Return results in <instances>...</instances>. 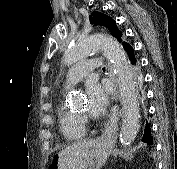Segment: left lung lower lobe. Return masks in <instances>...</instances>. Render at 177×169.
Here are the masks:
<instances>
[{
	"instance_id": "left-lung-lower-lobe-1",
	"label": "left lung lower lobe",
	"mask_w": 177,
	"mask_h": 169,
	"mask_svg": "<svg viewBox=\"0 0 177 169\" xmlns=\"http://www.w3.org/2000/svg\"><path fill=\"white\" fill-rule=\"evenodd\" d=\"M124 46V49L128 55V58H129V61L130 63L133 65V66H137L138 64V61H137V58H136V55H135V50L134 48L130 45V44H126V45H123ZM142 142H145L147 143L148 145H152L153 144V138H152V135H151V129H150V125L148 122H146L145 124V129H144V133H143V137H142Z\"/></svg>"
}]
</instances>
